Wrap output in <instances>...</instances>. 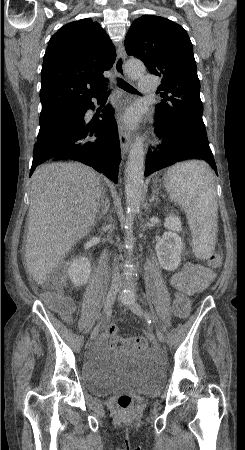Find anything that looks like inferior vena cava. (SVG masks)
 Masks as SVG:
<instances>
[{
    "instance_id": "obj_1",
    "label": "inferior vena cava",
    "mask_w": 245,
    "mask_h": 450,
    "mask_svg": "<svg viewBox=\"0 0 245 450\" xmlns=\"http://www.w3.org/2000/svg\"><path fill=\"white\" fill-rule=\"evenodd\" d=\"M122 281V278L120 276V273L118 272V267H115L113 275H112V283L116 285H120Z\"/></svg>"
}]
</instances>
